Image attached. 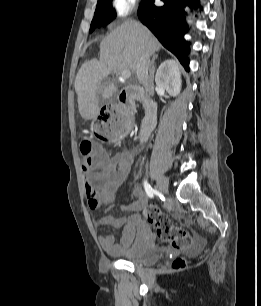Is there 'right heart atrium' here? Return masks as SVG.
Segmentation results:
<instances>
[{"label": "right heart atrium", "instance_id": "right-heart-atrium-1", "mask_svg": "<svg viewBox=\"0 0 261 306\" xmlns=\"http://www.w3.org/2000/svg\"><path fill=\"white\" fill-rule=\"evenodd\" d=\"M137 6V0H112L111 12L116 20H120L131 14Z\"/></svg>", "mask_w": 261, "mask_h": 306}]
</instances>
